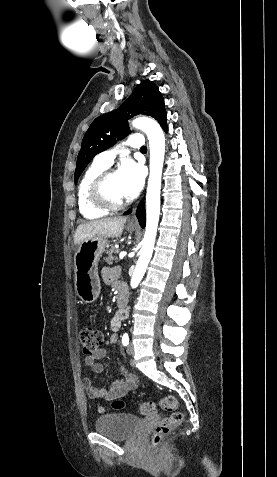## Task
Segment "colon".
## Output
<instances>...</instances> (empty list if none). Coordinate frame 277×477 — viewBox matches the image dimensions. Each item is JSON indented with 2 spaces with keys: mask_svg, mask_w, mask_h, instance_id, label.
<instances>
[{
  "mask_svg": "<svg viewBox=\"0 0 277 477\" xmlns=\"http://www.w3.org/2000/svg\"><path fill=\"white\" fill-rule=\"evenodd\" d=\"M83 353L87 356L94 354L103 339L102 333L91 325H84L79 333ZM124 402L115 400L112 403L114 409L124 407ZM160 407L170 414L159 421L153 433V444L158 445L161 441L183 421V413L179 411V403L175 396L167 395L160 399ZM155 404L153 402H144L140 404L139 411L143 415L154 412Z\"/></svg>",
  "mask_w": 277,
  "mask_h": 477,
  "instance_id": "1",
  "label": "colon"
}]
</instances>
